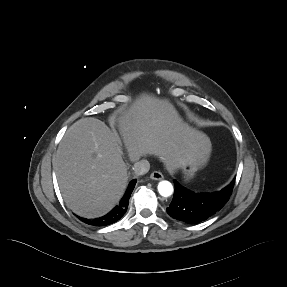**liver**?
Here are the masks:
<instances>
[{
    "instance_id": "obj_1",
    "label": "liver",
    "mask_w": 287,
    "mask_h": 287,
    "mask_svg": "<svg viewBox=\"0 0 287 287\" xmlns=\"http://www.w3.org/2000/svg\"><path fill=\"white\" fill-rule=\"evenodd\" d=\"M117 122L131 161L155 155L175 172L188 159L201 167L209 160L210 139L185 123L167 100L144 95ZM121 146L118 134L96 118H82L66 131L55 170L63 199L74 213L95 218L119 202L128 181Z\"/></svg>"
}]
</instances>
